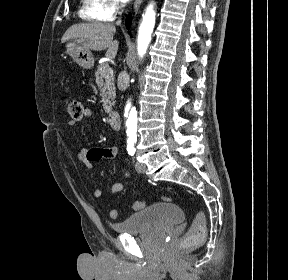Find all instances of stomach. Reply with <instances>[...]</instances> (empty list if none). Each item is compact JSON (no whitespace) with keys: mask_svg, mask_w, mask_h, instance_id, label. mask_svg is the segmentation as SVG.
<instances>
[{"mask_svg":"<svg viewBox=\"0 0 288 280\" xmlns=\"http://www.w3.org/2000/svg\"><path fill=\"white\" fill-rule=\"evenodd\" d=\"M66 53L81 67L90 69L94 65V57L90 49L85 48L76 41H69L66 44Z\"/></svg>","mask_w":288,"mask_h":280,"instance_id":"stomach-1","label":"stomach"}]
</instances>
